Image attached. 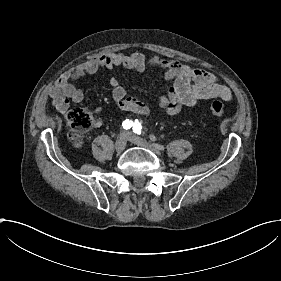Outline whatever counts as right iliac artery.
I'll use <instances>...</instances> for the list:
<instances>
[{
  "label": "right iliac artery",
  "mask_w": 281,
  "mask_h": 281,
  "mask_svg": "<svg viewBox=\"0 0 281 281\" xmlns=\"http://www.w3.org/2000/svg\"><path fill=\"white\" fill-rule=\"evenodd\" d=\"M123 128L125 129H130L133 126V122L129 119H126L123 123H122Z\"/></svg>",
  "instance_id": "obj_1"
}]
</instances>
